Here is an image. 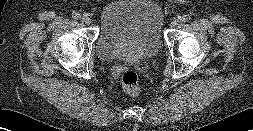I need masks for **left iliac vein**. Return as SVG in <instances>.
<instances>
[{
  "label": "left iliac vein",
  "instance_id": "1",
  "mask_svg": "<svg viewBox=\"0 0 253 131\" xmlns=\"http://www.w3.org/2000/svg\"><path fill=\"white\" fill-rule=\"evenodd\" d=\"M179 24H180V19H177V18L173 19L171 22L172 27H177Z\"/></svg>",
  "mask_w": 253,
  "mask_h": 131
}]
</instances>
